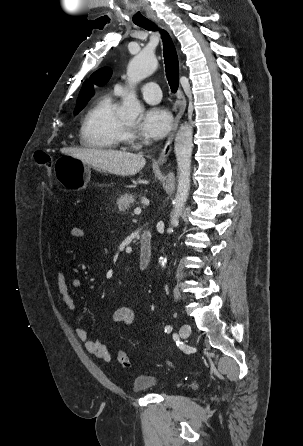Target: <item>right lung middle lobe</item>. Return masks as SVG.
Masks as SVG:
<instances>
[{
	"instance_id": "dd1d6c3e",
	"label": "right lung middle lobe",
	"mask_w": 303,
	"mask_h": 446,
	"mask_svg": "<svg viewBox=\"0 0 303 446\" xmlns=\"http://www.w3.org/2000/svg\"><path fill=\"white\" fill-rule=\"evenodd\" d=\"M86 105V104H85ZM85 105L77 106L75 109V113H78Z\"/></svg>"
}]
</instances>
